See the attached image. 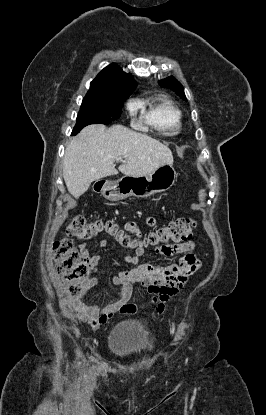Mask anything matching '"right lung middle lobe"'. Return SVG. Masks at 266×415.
<instances>
[{
    "label": "right lung middle lobe",
    "mask_w": 266,
    "mask_h": 415,
    "mask_svg": "<svg viewBox=\"0 0 266 415\" xmlns=\"http://www.w3.org/2000/svg\"><path fill=\"white\" fill-rule=\"evenodd\" d=\"M129 94H121L110 97L85 96L77 116L76 125L72 134L80 132L90 124H109L118 119L121 114L123 102Z\"/></svg>",
    "instance_id": "dd1d6c3e"
}]
</instances>
